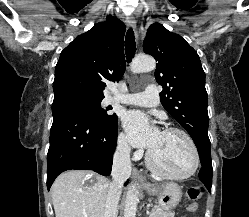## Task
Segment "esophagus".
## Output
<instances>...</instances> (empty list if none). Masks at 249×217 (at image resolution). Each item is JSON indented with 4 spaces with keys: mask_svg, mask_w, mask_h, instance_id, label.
<instances>
[{
    "mask_svg": "<svg viewBox=\"0 0 249 217\" xmlns=\"http://www.w3.org/2000/svg\"><path fill=\"white\" fill-rule=\"evenodd\" d=\"M127 25L132 27L136 31V20L133 16H129L127 18ZM133 178L141 185L146 184V178L136 168L133 169Z\"/></svg>",
    "mask_w": 249,
    "mask_h": 217,
    "instance_id": "34e87169",
    "label": "esophagus"
}]
</instances>
